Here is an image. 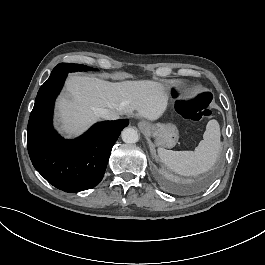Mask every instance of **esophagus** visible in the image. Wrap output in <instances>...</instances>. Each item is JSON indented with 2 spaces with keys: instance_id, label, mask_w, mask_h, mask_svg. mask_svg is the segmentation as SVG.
Returning a JSON list of instances; mask_svg holds the SVG:
<instances>
[{
  "instance_id": "1",
  "label": "esophagus",
  "mask_w": 265,
  "mask_h": 265,
  "mask_svg": "<svg viewBox=\"0 0 265 265\" xmlns=\"http://www.w3.org/2000/svg\"><path fill=\"white\" fill-rule=\"evenodd\" d=\"M138 128L140 129L141 132H146V131L150 130V124L148 122H145V121H140L138 123Z\"/></svg>"
}]
</instances>
